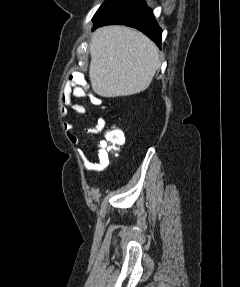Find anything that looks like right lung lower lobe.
I'll return each mask as SVG.
<instances>
[{
  "label": "right lung lower lobe",
  "instance_id": "1",
  "mask_svg": "<svg viewBox=\"0 0 240 287\" xmlns=\"http://www.w3.org/2000/svg\"><path fill=\"white\" fill-rule=\"evenodd\" d=\"M111 24L134 27L161 46L162 30L144 0H111L94 21L93 30Z\"/></svg>",
  "mask_w": 240,
  "mask_h": 287
}]
</instances>
